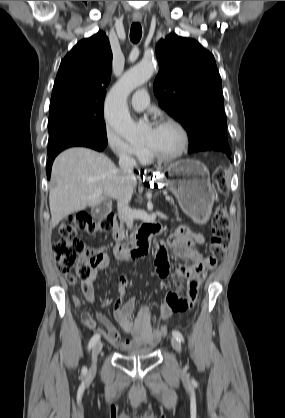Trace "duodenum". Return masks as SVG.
I'll use <instances>...</instances> for the list:
<instances>
[{"instance_id": "obj_1", "label": "duodenum", "mask_w": 285, "mask_h": 418, "mask_svg": "<svg viewBox=\"0 0 285 418\" xmlns=\"http://www.w3.org/2000/svg\"><path fill=\"white\" fill-rule=\"evenodd\" d=\"M158 232V227L153 225L147 228V233L140 236L138 242L133 246L121 243L122 240V220L118 214L115 215V225L112 229V238L116 242L113 248L115 258L119 260H132L138 257L146 256L149 253L150 235Z\"/></svg>"}]
</instances>
